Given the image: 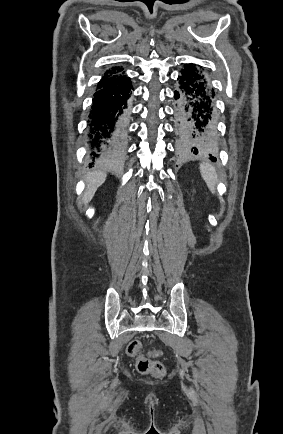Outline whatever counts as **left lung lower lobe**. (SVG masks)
I'll list each match as a JSON object with an SVG mask.
<instances>
[{"label": "left lung lower lobe", "mask_w": 283, "mask_h": 434, "mask_svg": "<svg viewBox=\"0 0 283 434\" xmlns=\"http://www.w3.org/2000/svg\"><path fill=\"white\" fill-rule=\"evenodd\" d=\"M174 119L177 143L199 151L216 149L215 92L210 79L193 64H185L174 91ZM212 161L216 158L210 155Z\"/></svg>", "instance_id": "1"}]
</instances>
